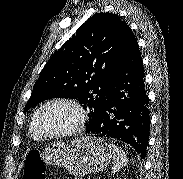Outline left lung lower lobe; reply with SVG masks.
<instances>
[{
	"label": "left lung lower lobe",
	"instance_id": "obj_1",
	"mask_svg": "<svg viewBox=\"0 0 183 179\" xmlns=\"http://www.w3.org/2000/svg\"><path fill=\"white\" fill-rule=\"evenodd\" d=\"M144 76L137 40L130 30L110 82L107 100L94 124L86 130L90 136L115 138L129 144L142 159L146 157L150 130Z\"/></svg>",
	"mask_w": 183,
	"mask_h": 179
}]
</instances>
